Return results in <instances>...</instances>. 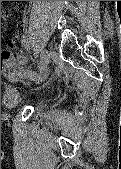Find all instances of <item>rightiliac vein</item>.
I'll use <instances>...</instances> for the list:
<instances>
[{
    "mask_svg": "<svg viewBox=\"0 0 121 169\" xmlns=\"http://www.w3.org/2000/svg\"><path fill=\"white\" fill-rule=\"evenodd\" d=\"M50 52L48 50H43L41 55V64L39 68V74L37 78L34 79L37 83L42 82L46 78V70L49 64Z\"/></svg>",
    "mask_w": 121,
    "mask_h": 169,
    "instance_id": "obj_1",
    "label": "right iliac vein"
}]
</instances>
